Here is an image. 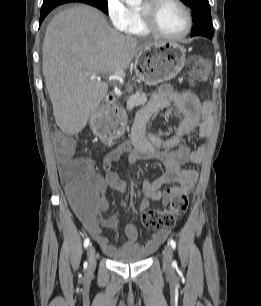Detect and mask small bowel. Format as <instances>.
I'll return each mask as SVG.
<instances>
[{
    "mask_svg": "<svg viewBox=\"0 0 261 306\" xmlns=\"http://www.w3.org/2000/svg\"><path fill=\"white\" fill-rule=\"evenodd\" d=\"M170 107H174L183 115V120L176 131L166 137L148 132L147 126L152 117L158 111ZM211 124V103L201 102L191 92H176L170 85L165 84L137 112L131 140L120 143L103 157L102 174L94 168L91 159H80L86 161L90 167L89 184L94 196L83 207L79 220L106 255L114 258L123 254H148L156 250L170 234L169 229H162L155 233L145 245H142L138 242L139 234L136 227L127 224L124 229L126 242L120 247L111 244L108 236L103 233V228H117L119 219L115 215L108 217L102 215L109 209L106 192L110 189L122 193L126 188L125 181L114 170V164L126 154L131 165L141 160L161 161L165 167V173L154 180L142 182L145 200L142 201L140 208L147 209L148 200L160 201L163 205H167L175 195L187 194L194 188L198 171L184 168L183 165L186 163L199 164L204 160L207 148L206 137ZM196 128H200L201 140L197 147L190 150L181 145V140ZM66 162L67 160L63 157L59 159L60 172ZM167 183H178V185L161 189Z\"/></svg>",
    "mask_w": 261,
    "mask_h": 306,
    "instance_id": "1",
    "label": "small bowel"
}]
</instances>
